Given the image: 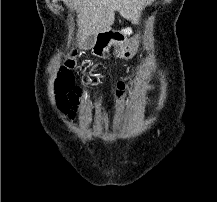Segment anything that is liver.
Instances as JSON below:
<instances>
[{"mask_svg":"<svg viewBox=\"0 0 217 202\" xmlns=\"http://www.w3.org/2000/svg\"><path fill=\"white\" fill-rule=\"evenodd\" d=\"M73 6L78 14L77 38L89 34L109 32L115 20V12L132 24H139L142 8L154 0H63Z\"/></svg>","mask_w":217,"mask_h":202,"instance_id":"liver-1","label":"liver"}]
</instances>
